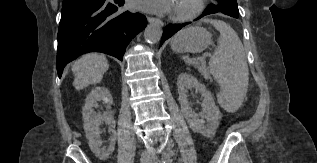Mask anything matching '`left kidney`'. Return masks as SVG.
Returning a JSON list of instances; mask_svg holds the SVG:
<instances>
[{"label": "left kidney", "mask_w": 317, "mask_h": 163, "mask_svg": "<svg viewBox=\"0 0 317 163\" xmlns=\"http://www.w3.org/2000/svg\"><path fill=\"white\" fill-rule=\"evenodd\" d=\"M177 86L181 111L187 120L189 127L193 131L198 132L205 137H213L219 126L222 114L219 108L215 105L211 93L194 76L186 72H183L178 76ZM192 87L201 93L203 97V101L201 103L203 112L200 115L196 114L192 110L187 99V90Z\"/></svg>", "instance_id": "5707ae66"}]
</instances>
